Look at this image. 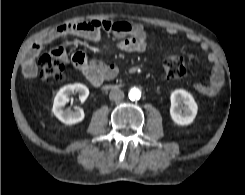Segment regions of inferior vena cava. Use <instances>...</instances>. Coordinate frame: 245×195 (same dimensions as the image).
Here are the masks:
<instances>
[{
    "label": "inferior vena cava",
    "instance_id": "inferior-vena-cava-1",
    "mask_svg": "<svg viewBox=\"0 0 245 195\" xmlns=\"http://www.w3.org/2000/svg\"><path fill=\"white\" fill-rule=\"evenodd\" d=\"M124 98V92L120 89H113L109 93V99L111 101H120Z\"/></svg>",
    "mask_w": 245,
    "mask_h": 195
}]
</instances>
